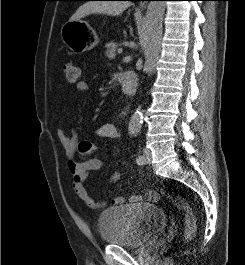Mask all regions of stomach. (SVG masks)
I'll use <instances>...</instances> for the list:
<instances>
[{
    "mask_svg": "<svg viewBox=\"0 0 245 265\" xmlns=\"http://www.w3.org/2000/svg\"><path fill=\"white\" fill-rule=\"evenodd\" d=\"M60 34L64 44L74 54L89 51L99 43L95 30L83 20L66 22L62 26Z\"/></svg>",
    "mask_w": 245,
    "mask_h": 265,
    "instance_id": "obj_1",
    "label": "stomach"
}]
</instances>
